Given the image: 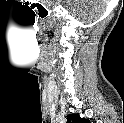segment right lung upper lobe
Masks as SVG:
<instances>
[{
  "label": "right lung upper lobe",
  "mask_w": 124,
  "mask_h": 123,
  "mask_svg": "<svg viewBox=\"0 0 124 123\" xmlns=\"http://www.w3.org/2000/svg\"><path fill=\"white\" fill-rule=\"evenodd\" d=\"M89 120L80 118L79 114H70L67 116V123H87Z\"/></svg>",
  "instance_id": "right-lung-upper-lobe-1"
}]
</instances>
